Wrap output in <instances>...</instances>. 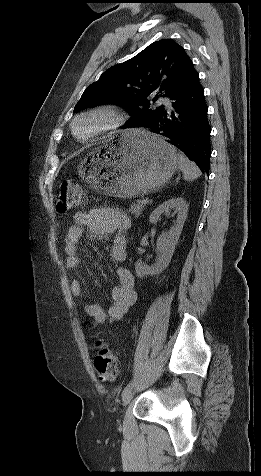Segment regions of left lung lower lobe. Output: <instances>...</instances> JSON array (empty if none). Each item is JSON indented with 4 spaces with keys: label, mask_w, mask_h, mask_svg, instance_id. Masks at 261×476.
<instances>
[{
    "label": "left lung lower lobe",
    "mask_w": 261,
    "mask_h": 476,
    "mask_svg": "<svg viewBox=\"0 0 261 476\" xmlns=\"http://www.w3.org/2000/svg\"><path fill=\"white\" fill-rule=\"evenodd\" d=\"M169 98L170 104L141 127L155 129L157 134L165 137L168 143L184 152L208 174L211 127L203 88L194 67L180 89Z\"/></svg>",
    "instance_id": "1"
}]
</instances>
